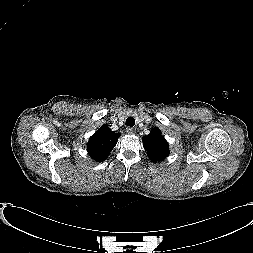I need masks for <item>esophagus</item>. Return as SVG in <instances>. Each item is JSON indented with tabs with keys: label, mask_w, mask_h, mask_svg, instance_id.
Returning a JSON list of instances; mask_svg holds the SVG:
<instances>
[{
	"label": "esophagus",
	"mask_w": 253,
	"mask_h": 253,
	"mask_svg": "<svg viewBox=\"0 0 253 253\" xmlns=\"http://www.w3.org/2000/svg\"><path fill=\"white\" fill-rule=\"evenodd\" d=\"M126 131H127L128 134H134L136 132V129L132 128V127H127Z\"/></svg>",
	"instance_id": "obj_1"
}]
</instances>
